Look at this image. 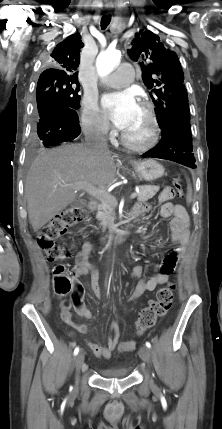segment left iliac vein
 I'll return each instance as SVG.
<instances>
[{
	"instance_id": "1",
	"label": "left iliac vein",
	"mask_w": 222,
	"mask_h": 429,
	"mask_svg": "<svg viewBox=\"0 0 222 429\" xmlns=\"http://www.w3.org/2000/svg\"><path fill=\"white\" fill-rule=\"evenodd\" d=\"M139 355L141 357V359L148 365L150 366V361H151V352L149 350L148 347L146 346H142L139 350Z\"/></svg>"
}]
</instances>
